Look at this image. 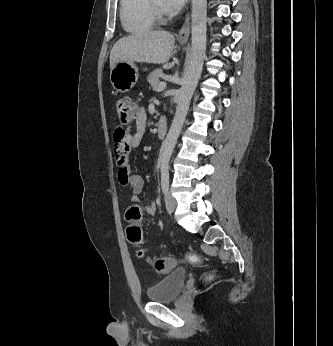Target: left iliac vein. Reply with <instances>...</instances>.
<instances>
[{"mask_svg":"<svg viewBox=\"0 0 333 346\" xmlns=\"http://www.w3.org/2000/svg\"><path fill=\"white\" fill-rule=\"evenodd\" d=\"M165 205L169 213H173L177 207L176 199L168 192L165 194Z\"/></svg>","mask_w":333,"mask_h":346,"instance_id":"1","label":"left iliac vein"}]
</instances>
